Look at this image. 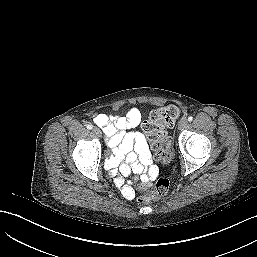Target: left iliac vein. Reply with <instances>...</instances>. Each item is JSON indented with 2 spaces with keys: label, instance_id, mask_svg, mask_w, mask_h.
<instances>
[{
  "label": "left iliac vein",
  "instance_id": "4c4485c4",
  "mask_svg": "<svg viewBox=\"0 0 257 257\" xmlns=\"http://www.w3.org/2000/svg\"><path fill=\"white\" fill-rule=\"evenodd\" d=\"M187 126H188V120H187V119H182V120H180V122L178 123V128H179L180 130H183V129L187 128Z\"/></svg>",
  "mask_w": 257,
  "mask_h": 257
}]
</instances>
